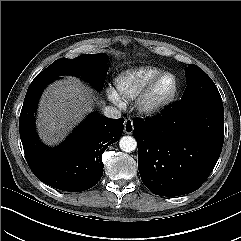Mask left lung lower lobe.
Listing matches in <instances>:
<instances>
[{"label": "left lung lower lobe", "instance_id": "0a47b994", "mask_svg": "<svg viewBox=\"0 0 241 241\" xmlns=\"http://www.w3.org/2000/svg\"><path fill=\"white\" fill-rule=\"evenodd\" d=\"M133 125L145 186L160 196L188 194L205 182L221 154L223 102L209 97L181 100L160 118H136Z\"/></svg>", "mask_w": 241, "mask_h": 241}]
</instances>
